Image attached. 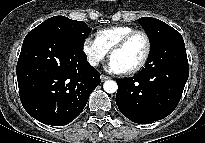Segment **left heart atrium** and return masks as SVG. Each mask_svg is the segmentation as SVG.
<instances>
[{
	"label": "left heart atrium",
	"mask_w": 205,
	"mask_h": 143,
	"mask_svg": "<svg viewBox=\"0 0 205 143\" xmlns=\"http://www.w3.org/2000/svg\"><path fill=\"white\" fill-rule=\"evenodd\" d=\"M107 69L111 73H124L126 70L113 58H111L107 64Z\"/></svg>",
	"instance_id": "39dd6f15"
}]
</instances>
